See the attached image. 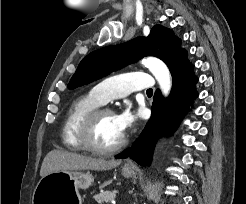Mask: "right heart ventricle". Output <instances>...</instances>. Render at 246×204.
Returning a JSON list of instances; mask_svg holds the SVG:
<instances>
[{
  "label": "right heart ventricle",
  "mask_w": 246,
  "mask_h": 204,
  "mask_svg": "<svg viewBox=\"0 0 246 204\" xmlns=\"http://www.w3.org/2000/svg\"><path fill=\"white\" fill-rule=\"evenodd\" d=\"M101 103L89 93L77 98L70 106L62 126V142L71 150H83L78 132L84 118Z\"/></svg>",
  "instance_id": "1"
}]
</instances>
